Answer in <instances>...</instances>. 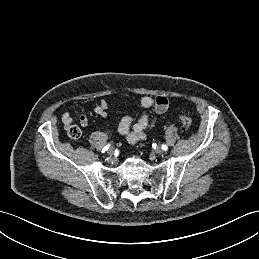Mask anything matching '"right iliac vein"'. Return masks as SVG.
Returning a JSON list of instances; mask_svg holds the SVG:
<instances>
[{
  "mask_svg": "<svg viewBox=\"0 0 259 259\" xmlns=\"http://www.w3.org/2000/svg\"><path fill=\"white\" fill-rule=\"evenodd\" d=\"M107 153L112 156L114 154V149L112 147H110L108 149Z\"/></svg>",
  "mask_w": 259,
  "mask_h": 259,
  "instance_id": "1",
  "label": "right iliac vein"
}]
</instances>
